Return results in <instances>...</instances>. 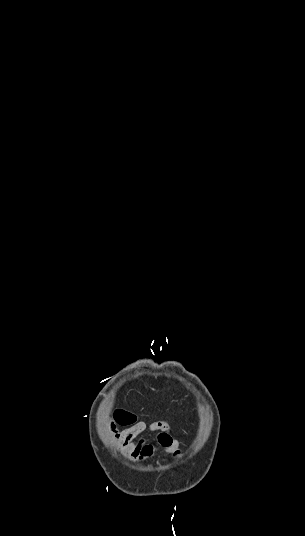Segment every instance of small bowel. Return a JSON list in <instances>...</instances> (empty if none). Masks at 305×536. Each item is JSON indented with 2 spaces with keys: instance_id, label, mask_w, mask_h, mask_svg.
Listing matches in <instances>:
<instances>
[{
  "instance_id": "c3829d8e",
  "label": "small bowel",
  "mask_w": 305,
  "mask_h": 536,
  "mask_svg": "<svg viewBox=\"0 0 305 536\" xmlns=\"http://www.w3.org/2000/svg\"><path fill=\"white\" fill-rule=\"evenodd\" d=\"M107 433L112 437V444L132 462L142 463L151 457L157 448L170 453L174 459L181 456V449L174 439L171 427H131L124 429V435H117L119 430L112 419L107 420ZM155 434V443L148 442L145 435Z\"/></svg>"
}]
</instances>
